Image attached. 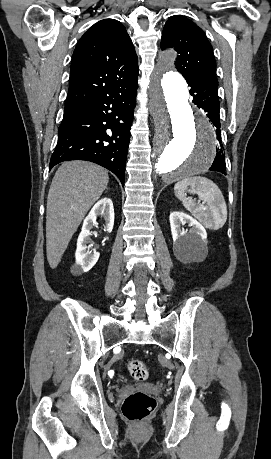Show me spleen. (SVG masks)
Here are the masks:
<instances>
[{"mask_svg":"<svg viewBox=\"0 0 271 459\" xmlns=\"http://www.w3.org/2000/svg\"><path fill=\"white\" fill-rule=\"evenodd\" d=\"M190 186V190H188ZM187 192L198 194L204 204H196L191 198H186ZM174 192L183 202V206L195 216L205 228L219 229L224 226L227 220V206L218 186L202 176H193V178H184L174 186Z\"/></svg>","mask_w":271,"mask_h":459,"instance_id":"3e777b00","label":"spleen"}]
</instances>
